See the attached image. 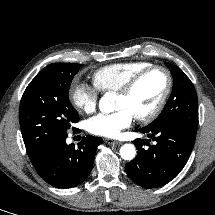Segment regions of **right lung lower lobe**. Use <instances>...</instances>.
<instances>
[{"instance_id": "98d812e1", "label": "right lung lower lobe", "mask_w": 215, "mask_h": 215, "mask_svg": "<svg viewBox=\"0 0 215 215\" xmlns=\"http://www.w3.org/2000/svg\"><path fill=\"white\" fill-rule=\"evenodd\" d=\"M66 137L29 157L37 173L58 188H71L85 180L91 171L97 147L103 143L100 137L88 136L75 147L74 144H66Z\"/></svg>"}]
</instances>
